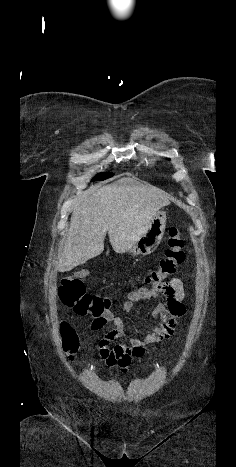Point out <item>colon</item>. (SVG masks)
<instances>
[{
  "instance_id": "colon-1",
  "label": "colon",
  "mask_w": 236,
  "mask_h": 467,
  "mask_svg": "<svg viewBox=\"0 0 236 467\" xmlns=\"http://www.w3.org/2000/svg\"><path fill=\"white\" fill-rule=\"evenodd\" d=\"M168 235V247L165 250L164 257L145 277V283L149 286L154 287L164 284L165 280L176 273L177 267L184 260V241L180 229L171 226L168 229ZM88 275L87 270H80L74 275L63 278L59 288V297L62 304L72 308L76 314H91L98 317L110 309L111 301L107 297L92 295L86 291L84 280ZM61 334L64 350L72 358L79 348L78 335L67 322L61 324Z\"/></svg>"
}]
</instances>
